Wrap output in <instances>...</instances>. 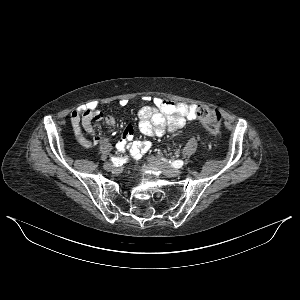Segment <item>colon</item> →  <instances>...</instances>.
<instances>
[{
  "mask_svg": "<svg viewBox=\"0 0 300 300\" xmlns=\"http://www.w3.org/2000/svg\"><path fill=\"white\" fill-rule=\"evenodd\" d=\"M195 115L209 132L217 133L219 131L222 120L219 111L211 110L204 105H198Z\"/></svg>",
  "mask_w": 300,
  "mask_h": 300,
  "instance_id": "colon-1",
  "label": "colon"
}]
</instances>
